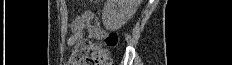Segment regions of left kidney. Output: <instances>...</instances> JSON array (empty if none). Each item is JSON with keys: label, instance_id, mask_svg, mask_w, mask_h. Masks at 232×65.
I'll return each instance as SVG.
<instances>
[{"label": "left kidney", "instance_id": "obj_1", "mask_svg": "<svg viewBox=\"0 0 232 65\" xmlns=\"http://www.w3.org/2000/svg\"><path fill=\"white\" fill-rule=\"evenodd\" d=\"M139 2V0H107L102 11L104 27L110 31L120 29L134 15Z\"/></svg>", "mask_w": 232, "mask_h": 65}]
</instances>
